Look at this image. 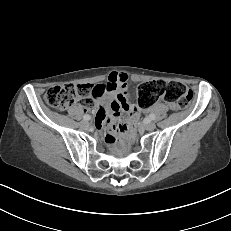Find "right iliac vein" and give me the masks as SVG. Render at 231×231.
<instances>
[{
    "mask_svg": "<svg viewBox=\"0 0 231 231\" xmlns=\"http://www.w3.org/2000/svg\"><path fill=\"white\" fill-rule=\"evenodd\" d=\"M89 126H90V124H89L88 121H82L80 123V127L83 128V129H87V128H89Z\"/></svg>",
    "mask_w": 231,
    "mask_h": 231,
    "instance_id": "obj_1",
    "label": "right iliac vein"
}]
</instances>
